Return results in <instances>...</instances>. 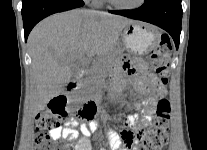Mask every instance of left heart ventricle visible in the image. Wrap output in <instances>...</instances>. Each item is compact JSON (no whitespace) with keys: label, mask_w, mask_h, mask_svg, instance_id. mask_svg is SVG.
<instances>
[{"label":"left heart ventricle","mask_w":207,"mask_h":150,"mask_svg":"<svg viewBox=\"0 0 207 150\" xmlns=\"http://www.w3.org/2000/svg\"><path fill=\"white\" fill-rule=\"evenodd\" d=\"M117 3L125 6L135 5L139 2V0H115Z\"/></svg>","instance_id":"obj_1"}]
</instances>
